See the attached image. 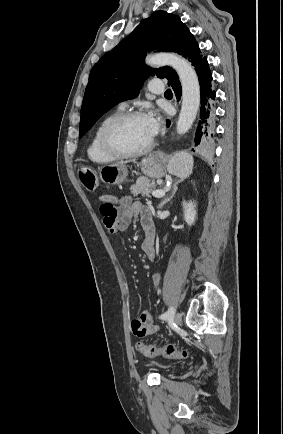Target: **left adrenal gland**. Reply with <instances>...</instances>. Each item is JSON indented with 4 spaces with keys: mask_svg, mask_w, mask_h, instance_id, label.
Here are the masks:
<instances>
[{
    "mask_svg": "<svg viewBox=\"0 0 283 434\" xmlns=\"http://www.w3.org/2000/svg\"><path fill=\"white\" fill-rule=\"evenodd\" d=\"M181 181H182V180H178V181H175V182H174L173 187H172L173 189H172V193H171V195H170L168 198L164 199V200L159 204V206H158L159 209H161V208H162L166 203H168L170 200H172V198L174 197L175 193L177 192L178 184L181 183Z\"/></svg>",
    "mask_w": 283,
    "mask_h": 434,
    "instance_id": "1",
    "label": "left adrenal gland"
}]
</instances>
